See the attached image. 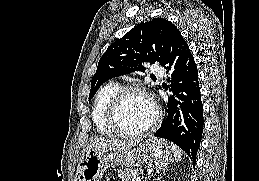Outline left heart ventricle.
I'll return each instance as SVG.
<instances>
[{"label":"left heart ventricle","mask_w":259,"mask_h":181,"mask_svg":"<svg viewBox=\"0 0 259 181\" xmlns=\"http://www.w3.org/2000/svg\"><path fill=\"white\" fill-rule=\"evenodd\" d=\"M154 116V108L148 99L139 94H130L123 101L119 121L126 130L138 131L148 126Z\"/></svg>","instance_id":"left-heart-ventricle-1"}]
</instances>
